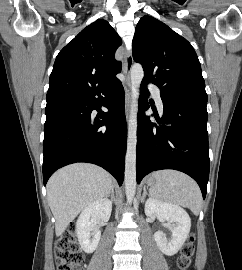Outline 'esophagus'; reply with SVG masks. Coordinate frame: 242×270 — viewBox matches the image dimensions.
<instances>
[{
  "mask_svg": "<svg viewBox=\"0 0 242 270\" xmlns=\"http://www.w3.org/2000/svg\"><path fill=\"white\" fill-rule=\"evenodd\" d=\"M133 65V56L132 53L129 51L126 54L125 61H124V89H125V113L126 118L129 117L130 112V103H131V69Z\"/></svg>",
  "mask_w": 242,
  "mask_h": 270,
  "instance_id": "1",
  "label": "esophagus"
}]
</instances>
